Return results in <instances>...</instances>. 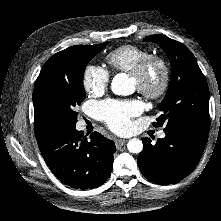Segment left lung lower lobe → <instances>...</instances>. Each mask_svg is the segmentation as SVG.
<instances>
[{"instance_id": "left-lung-lower-lobe-1", "label": "left lung lower lobe", "mask_w": 221, "mask_h": 221, "mask_svg": "<svg viewBox=\"0 0 221 221\" xmlns=\"http://www.w3.org/2000/svg\"><path fill=\"white\" fill-rule=\"evenodd\" d=\"M166 136L156 144L143 139V150L138 157L142 174L158 184H171L188 176L199 162L208 133L189 127L164 130Z\"/></svg>"}]
</instances>
